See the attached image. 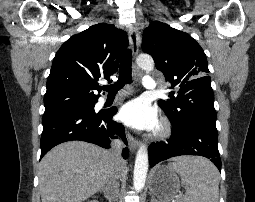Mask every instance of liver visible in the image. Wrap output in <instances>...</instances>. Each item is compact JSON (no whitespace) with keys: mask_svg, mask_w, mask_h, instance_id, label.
<instances>
[{"mask_svg":"<svg viewBox=\"0 0 255 202\" xmlns=\"http://www.w3.org/2000/svg\"><path fill=\"white\" fill-rule=\"evenodd\" d=\"M117 167L111 151L83 141L50 150L40 162L42 202H83L103 189ZM125 171V163L121 165Z\"/></svg>","mask_w":255,"mask_h":202,"instance_id":"obj_1","label":"liver"}]
</instances>
